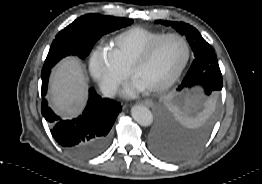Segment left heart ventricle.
Returning <instances> with one entry per match:
<instances>
[{"mask_svg":"<svg viewBox=\"0 0 262 184\" xmlns=\"http://www.w3.org/2000/svg\"><path fill=\"white\" fill-rule=\"evenodd\" d=\"M186 55L184 43L175 37L163 40L150 60L140 67L135 75L145 88L165 83L178 70Z\"/></svg>","mask_w":262,"mask_h":184,"instance_id":"left-heart-ventricle-1","label":"left heart ventricle"}]
</instances>
